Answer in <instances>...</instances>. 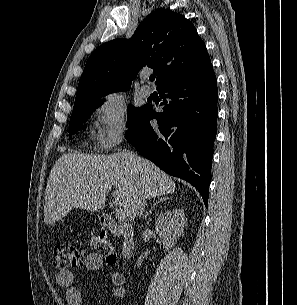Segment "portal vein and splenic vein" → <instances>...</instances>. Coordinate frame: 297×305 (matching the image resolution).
Segmentation results:
<instances>
[{
    "label": "portal vein and splenic vein",
    "instance_id": "1",
    "mask_svg": "<svg viewBox=\"0 0 297 305\" xmlns=\"http://www.w3.org/2000/svg\"><path fill=\"white\" fill-rule=\"evenodd\" d=\"M116 218L118 220H125L126 219V213L124 210H122L121 208L120 209H117L116 210Z\"/></svg>",
    "mask_w": 297,
    "mask_h": 305
}]
</instances>
